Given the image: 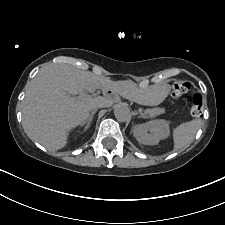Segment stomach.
<instances>
[{
    "label": "stomach",
    "mask_w": 225,
    "mask_h": 225,
    "mask_svg": "<svg viewBox=\"0 0 225 225\" xmlns=\"http://www.w3.org/2000/svg\"><path fill=\"white\" fill-rule=\"evenodd\" d=\"M169 92V86L163 85L157 90L151 91L144 96V102L146 105H158L160 104Z\"/></svg>",
    "instance_id": "stomach-1"
}]
</instances>
